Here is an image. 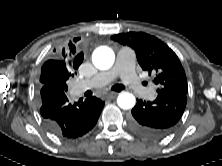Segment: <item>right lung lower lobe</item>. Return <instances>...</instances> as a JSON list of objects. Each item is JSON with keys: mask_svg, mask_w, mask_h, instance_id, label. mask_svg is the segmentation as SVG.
I'll list each match as a JSON object with an SVG mask.
<instances>
[{"mask_svg": "<svg viewBox=\"0 0 222 166\" xmlns=\"http://www.w3.org/2000/svg\"><path fill=\"white\" fill-rule=\"evenodd\" d=\"M38 98L40 113L48 130L67 139L80 137L90 131L104 106V102L96 97L71 104L66 91L50 84L42 85Z\"/></svg>", "mask_w": 222, "mask_h": 166, "instance_id": "98d812e1", "label": "right lung lower lobe"}]
</instances>
